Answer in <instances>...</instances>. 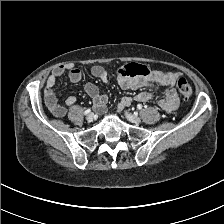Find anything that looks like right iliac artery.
I'll return each mask as SVG.
<instances>
[{
  "label": "right iliac artery",
  "mask_w": 224,
  "mask_h": 224,
  "mask_svg": "<svg viewBox=\"0 0 224 224\" xmlns=\"http://www.w3.org/2000/svg\"><path fill=\"white\" fill-rule=\"evenodd\" d=\"M90 112H91V109H87V110L84 112V114H85V115H88Z\"/></svg>",
  "instance_id": "right-iliac-artery-1"
}]
</instances>
